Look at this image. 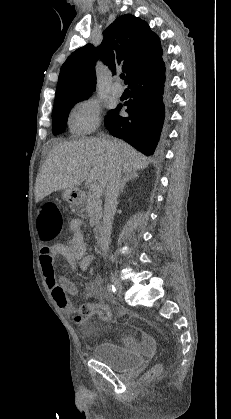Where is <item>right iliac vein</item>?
I'll use <instances>...</instances> for the list:
<instances>
[{"instance_id": "1", "label": "right iliac vein", "mask_w": 231, "mask_h": 419, "mask_svg": "<svg viewBox=\"0 0 231 419\" xmlns=\"http://www.w3.org/2000/svg\"><path fill=\"white\" fill-rule=\"evenodd\" d=\"M111 282L112 284L119 290L122 291L123 290V285L121 283V281L115 276V275H111Z\"/></svg>"}]
</instances>
